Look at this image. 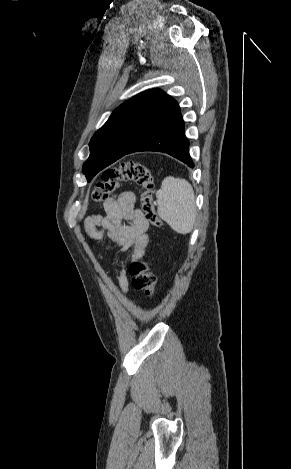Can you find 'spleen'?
<instances>
[{
	"mask_svg": "<svg viewBox=\"0 0 291 469\" xmlns=\"http://www.w3.org/2000/svg\"><path fill=\"white\" fill-rule=\"evenodd\" d=\"M156 197L159 217L174 231L188 234L193 230L197 209L194 190L187 180L166 177Z\"/></svg>",
	"mask_w": 291,
	"mask_h": 469,
	"instance_id": "3e777b00",
	"label": "spleen"
}]
</instances>
